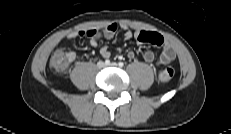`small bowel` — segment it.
I'll use <instances>...</instances> for the list:
<instances>
[{
	"mask_svg": "<svg viewBox=\"0 0 231 134\" xmlns=\"http://www.w3.org/2000/svg\"><path fill=\"white\" fill-rule=\"evenodd\" d=\"M119 26L116 23L110 24L106 26L105 28L98 30V29H90L86 31H75L66 36V40L69 41L71 39L86 36L88 38V43L92 47H97L98 40L101 38L104 39H112ZM121 28L125 31L124 38L129 39L132 37V31L128 29L126 26H121ZM134 36L137 39L139 43H151L156 46H159L162 48L161 53L158 56H155V54L148 50L144 52L143 54V60L147 63L154 64L156 66L160 65H167L171 63L175 57L176 53L169 44V42L159 33L156 32H150L145 30H137L134 32ZM70 60L73 61L75 59V53L73 51L68 52ZM100 54L104 58H109L111 53L107 46H102L100 48ZM128 58L130 60H134L136 58V54L134 51H129L127 54Z\"/></svg>",
	"mask_w": 231,
	"mask_h": 134,
	"instance_id": "1",
	"label": "small bowel"
}]
</instances>
